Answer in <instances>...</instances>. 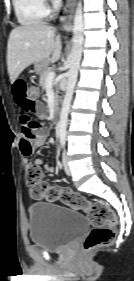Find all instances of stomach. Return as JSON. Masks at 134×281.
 <instances>
[{"label":"stomach","mask_w":134,"mask_h":281,"mask_svg":"<svg viewBox=\"0 0 134 281\" xmlns=\"http://www.w3.org/2000/svg\"><path fill=\"white\" fill-rule=\"evenodd\" d=\"M46 67H47V63H46V62L35 63V66H34L35 71H36L37 73H39V74H40L43 70H45Z\"/></svg>","instance_id":"1"}]
</instances>
